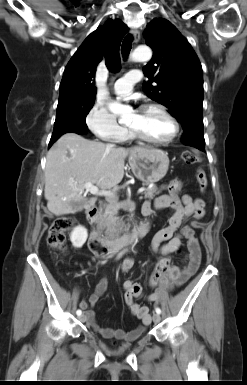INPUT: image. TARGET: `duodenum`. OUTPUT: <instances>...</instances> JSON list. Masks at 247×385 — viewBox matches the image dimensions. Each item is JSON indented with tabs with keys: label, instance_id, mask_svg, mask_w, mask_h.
Here are the masks:
<instances>
[{
	"label": "duodenum",
	"instance_id": "410a0bca",
	"mask_svg": "<svg viewBox=\"0 0 247 385\" xmlns=\"http://www.w3.org/2000/svg\"><path fill=\"white\" fill-rule=\"evenodd\" d=\"M86 217L89 224L94 226L88 240V246L93 253L104 258L114 255L124 246L140 239L146 235L151 228V223L149 221H144L133 232L116 236L111 240H105L96 228L98 210L96 208H89L86 211Z\"/></svg>",
	"mask_w": 247,
	"mask_h": 385
}]
</instances>
